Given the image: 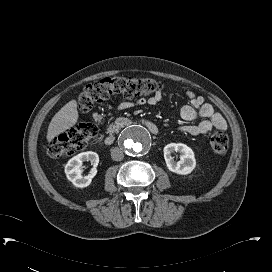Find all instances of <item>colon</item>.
Wrapping results in <instances>:
<instances>
[{
	"label": "colon",
	"mask_w": 272,
	"mask_h": 272,
	"mask_svg": "<svg viewBox=\"0 0 272 272\" xmlns=\"http://www.w3.org/2000/svg\"><path fill=\"white\" fill-rule=\"evenodd\" d=\"M162 88V83L142 77H106L87 85L78 98L81 112H89L93 106L108 99L114 93L127 97L151 96ZM97 126L92 121L81 122L72 130L52 139L48 152L52 157L70 156L84 149L97 135ZM210 147L215 154L224 155L229 148V137L224 131L215 132L210 138Z\"/></svg>",
	"instance_id": "obj_1"
}]
</instances>
